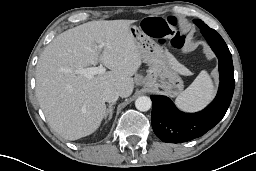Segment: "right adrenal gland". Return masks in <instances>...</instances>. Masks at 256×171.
Returning <instances> with one entry per match:
<instances>
[{
  "label": "right adrenal gland",
  "mask_w": 256,
  "mask_h": 171,
  "mask_svg": "<svg viewBox=\"0 0 256 171\" xmlns=\"http://www.w3.org/2000/svg\"><path fill=\"white\" fill-rule=\"evenodd\" d=\"M114 105H115L114 102L111 103V104L108 106V108H107V110H106V112H105L104 119L106 120V122L109 121V120L112 118L113 110H114V107H113V106H114Z\"/></svg>",
  "instance_id": "obj_1"
}]
</instances>
